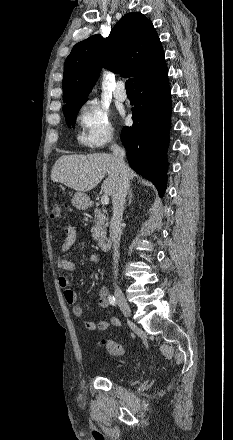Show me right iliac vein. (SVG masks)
I'll return each instance as SVG.
<instances>
[{
    "label": "right iliac vein",
    "mask_w": 233,
    "mask_h": 440,
    "mask_svg": "<svg viewBox=\"0 0 233 440\" xmlns=\"http://www.w3.org/2000/svg\"><path fill=\"white\" fill-rule=\"evenodd\" d=\"M115 296H116V300H117L118 305L121 308L122 312L126 316H130L131 315L130 306H129L124 294L122 293V291L119 287L115 288Z\"/></svg>",
    "instance_id": "1"
}]
</instances>
